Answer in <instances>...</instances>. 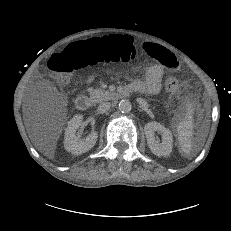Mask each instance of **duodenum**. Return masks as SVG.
<instances>
[{"mask_svg":"<svg viewBox=\"0 0 231 231\" xmlns=\"http://www.w3.org/2000/svg\"><path fill=\"white\" fill-rule=\"evenodd\" d=\"M131 91H132V88L129 86V87L124 88L123 90L117 92L115 94V97L117 99L125 98L131 93ZM75 104L79 110L85 111V110L90 108V106L92 104V99L87 95H80L76 98Z\"/></svg>","mask_w":231,"mask_h":231,"instance_id":"410a0bca","label":"duodenum"}]
</instances>
